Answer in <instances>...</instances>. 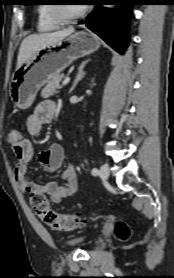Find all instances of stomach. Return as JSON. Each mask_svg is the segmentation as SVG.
<instances>
[{"mask_svg":"<svg viewBox=\"0 0 174 278\" xmlns=\"http://www.w3.org/2000/svg\"><path fill=\"white\" fill-rule=\"evenodd\" d=\"M99 47L100 41L95 36L80 31L39 49L12 75L9 86L11 101L20 109L29 108L45 83L73 61L95 52Z\"/></svg>","mask_w":174,"mask_h":278,"instance_id":"1","label":"stomach"}]
</instances>
